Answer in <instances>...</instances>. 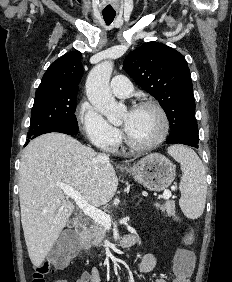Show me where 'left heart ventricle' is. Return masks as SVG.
<instances>
[{"instance_id":"b2bd125f","label":"left heart ventricle","mask_w":232,"mask_h":282,"mask_svg":"<svg viewBox=\"0 0 232 282\" xmlns=\"http://www.w3.org/2000/svg\"><path fill=\"white\" fill-rule=\"evenodd\" d=\"M121 124L127 135L137 143H147L160 134L162 121L158 113L151 108H138L126 112Z\"/></svg>"}]
</instances>
